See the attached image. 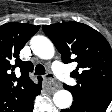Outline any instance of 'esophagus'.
I'll return each mask as SVG.
<instances>
[{
	"instance_id": "esophagus-1",
	"label": "esophagus",
	"mask_w": 112,
	"mask_h": 112,
	"mask_svg": "<svg viewBox=\"0 0 112 112\" xmlns=\"http://www.w3.org/2000/svg\"><path fill=\"white\" fill-rule=\"evenodd\" d=\"M44 88L46 91L53 93L58 90V84L56 83L55 79L48 74L44 77Z\"/></svg>"
}]
</instances>
